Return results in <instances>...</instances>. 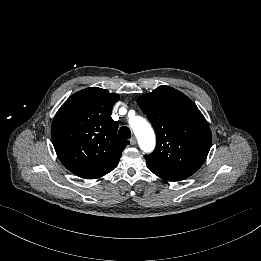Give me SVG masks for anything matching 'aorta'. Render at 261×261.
<instances>
[{
    "instance_id": "762f6f07",
    "label": "aorta",
    "mask_w": 261,
    "mask_h": 261,
    "mask_svg": "<svg viewBox=\"0 0 261 261\" xmlns=\"http://www.w3.org/2000/svg\"><path fill=\"white\" fill-rule=\"evenodd\" d=\"M129 124L138 139L140 148L145 153L152 152L155 147V135L149 123L140 116H131Z\"/></svg>"
}]
</instances>
